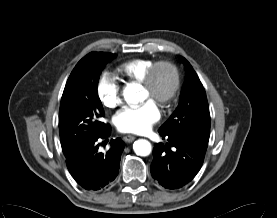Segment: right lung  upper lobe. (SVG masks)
Segmentation results:
<instances>
[{
	"mask_svg": "<svg viewBox=\"0 0 277 218\" xmlns=\"http://www.w3.org/2000/svg\"><path fill=\"white\" fill-rule=\"evenodd\" d=\"M90 54H100V55H103V56H106V57H112L114 56L113 54L111 53H105V52H99V53H96V52H92Z\"/></svg>",
	"mask_w": 277,
	"mask_h": 218,
	"instance_id": "right-lung-upper-lobe-1",
	"label": "right lung upper lobe"
}]
</instances>
